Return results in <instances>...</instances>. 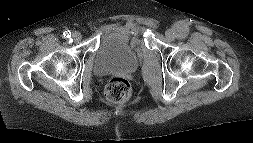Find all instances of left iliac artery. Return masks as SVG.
Returning <instances> with one entry per match:
<instances>
[{"label": "left iliac artery", "instance_id": "left-iliac-artery-1", "mask_svg": "<svg viewBox=\"0 0 253 143\" xmlns=\"http://www.w3.org/2000/svg\"><path fill=\"white\" fill-rule=\"evenodd\" d=\"M188 28L187 27H185V26H181V27H179V29H178V34H177V36L179 37V38H184V37H186V35L188 34Z\"/></svg>", "mask_w": 253, "mask_h": 143}]
</instances>
